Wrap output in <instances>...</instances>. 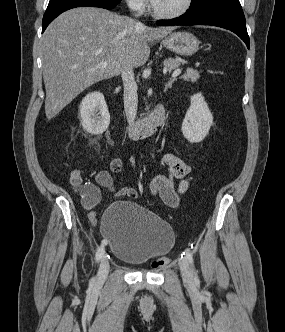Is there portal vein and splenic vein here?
I'll return each mask as SVG.
<instances>
[{"mask_svg": "<svg viewBox=\"0 0 285 332\" xmlns=\"http://www.w3.org/2000/svg\"><path fill=\"white\" fill-rule=\"evenodd\" d=\"M106 66H107V62H102V63H99V64L97 65L98 68H104V67H106ZM180 73H181V69H176V70L173 72L172 76H173V77H177L178 75H180Z\"/></svg>", "mask_w": 285, "mask_h": 332, "instance_id": "18ae733b", "label": "portal vein and splenic vein"}]
</instances>
